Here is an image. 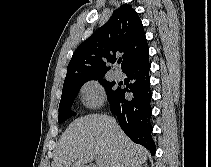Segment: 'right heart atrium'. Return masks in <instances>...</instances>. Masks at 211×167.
Listing matches in <instances>:
<instances>
[{
  "instance_id": "1",
  "label": "right heart atrium",
  "mask_w": 211,
  "mask_h": 167,
  "mask_svg": "<svg viewBox=\"0 0 211 167\" xmlns=\"http://www.w3.org/2000/svg\"><path fill=\"white\" fill-rule=\"evenodd\" d=\"M83 103L88 107L99 106L104 98L102 86L97 81H88L81 89Z\"/></svg>"
}]
</instances>
